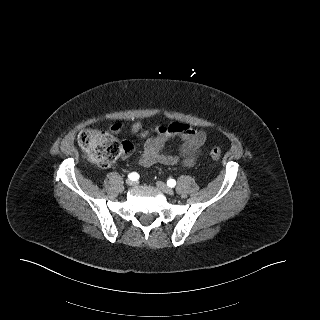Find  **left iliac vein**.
Instances as JSON below:
<instances>
[{"label":"left iliac vein","instance_id":"obj_1","mask_svg":"<svg viewBox=\"0 0 320 320\" xmlns=\"http://www.w3.org/2000/svg\"><path fill=\"white\" fill-rule=\"evenodd\" d=\"M157 187L163 191L164 193H167L169 195H172L174 193L173 189L170 188L168 185H166L164 182L162 181H157L156 182Z\"/></svg>","mask_w":320,"mask_h":320}]
</instances>
